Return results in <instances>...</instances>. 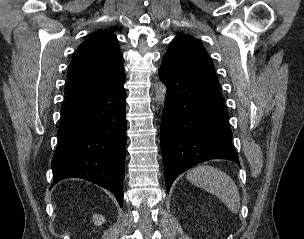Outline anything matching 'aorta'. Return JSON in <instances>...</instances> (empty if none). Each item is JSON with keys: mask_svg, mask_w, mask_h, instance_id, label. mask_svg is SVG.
<instances>
[{"mask_svg": "<svg viewBox=\"0 0 304 239\" xmlns=\"http://www.w3.org/2000/svg\"><path fill=\"white\" fill-rule=\"evenodd\" d=\"M167 94V87L164 83L158 82L155 85V100L158 105H164L165 99Z\"/></svg>", "mask_w": 304, "mask_h": 239, "instance_id": "obj_1", "label": "aorta"}]
</instances>
